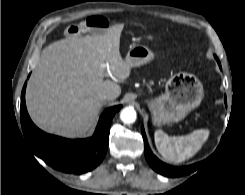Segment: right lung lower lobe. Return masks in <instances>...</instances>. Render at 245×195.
Masks as SVG:
<instances>
[{
	"label": "right lung lower lobe",
	"instance_id": "obj_1",
	"mask_svg": "<svg viewBox=\"0 0 245 195\" xmlns=\"http://www.w3.org/2000/svg\"><path fill=\"white\" fill-rule=\"evenodd\" d=\"M26 83L21 94L20 119L24 136L33 153L52 168L72 174H82L97 167L107 152L110 125L121 105L106 109L93 137L69 140L46 134L31 121L25 105Z\"/></svg>",
	"mask_w": 245,
	"mask_h": 195
}]
</instances>
